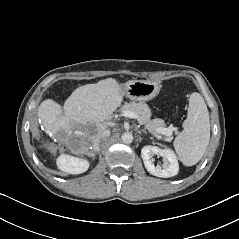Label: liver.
Wrapping results in <instances>:
<instances>
[{"instance_id":"6515ba94","label":"liver","mask_w":239,"mask_h":239,"mask_svg":"<svg viewBox=\"0 0 239 239\" xmlns=\"http://www.w3.org/2000/svg\"><path fill=\"white\" fill-rule=\"evenodd\" d=\"M122 87L113 78L98 83L83 85L69 96L63 109L52 99H46L39 105L38 118L45 133L53 139L64 140L74 130L78 136H88L95 150V140L108 127L107 120L123 101ZM85 127H93L91 133L83 132ZM87 146L78 153L83 154Z\"/></svg>"}]
</instances>
